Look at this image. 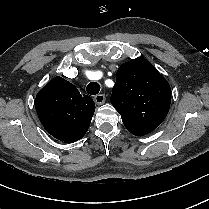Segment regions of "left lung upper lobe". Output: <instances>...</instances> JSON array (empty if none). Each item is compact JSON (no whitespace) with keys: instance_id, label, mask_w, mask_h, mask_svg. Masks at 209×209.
I'll list each match as a JSON object with an SVG mask.
<instances>
[{"instance_id":"obj_1","label":"left lung upper lobe","mask_w":209,"mask_h":209,"mask_svg":"<svg viewBox=\"0 0 209 209\" xmlns=\"http://www.w3.org/2000/svg\"><path fill=\"white\" fill-rule=\"evenodd\" d=\"M110 101L125 127L132 134L143 136L154 131L165 119L171 89L156 68L139 57L119 67Z\"/></svg>"}]
</instances>
